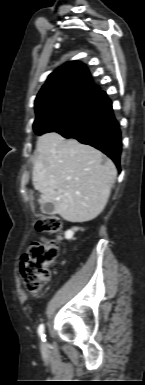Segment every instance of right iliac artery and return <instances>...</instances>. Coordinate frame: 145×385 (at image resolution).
I'll return each mask as SVG.
<instances>
[{
  "label": "right iliac artery",
  "mask_w": 145,
  "mask_h": 385,
  "mask_svg": "<svg viewBox=\"0 0 145 385\" xmlns=\"http://www.w3.org/2000/svg\"><path fill=\"white\" fill-rule=\"evenodd\" d=\"M38 333L42 339V341H45V334H44V325L40 324L38 327Z\"/></svg>",
  "instance_id": "1"
}]
</instances>
